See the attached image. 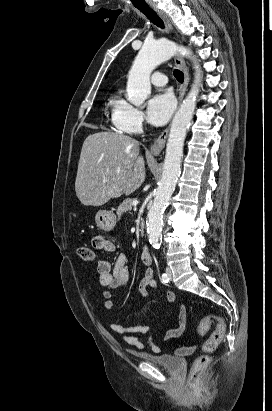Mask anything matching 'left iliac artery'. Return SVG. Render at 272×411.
I'll list each match as a JSON object with an SVG mask.
<instances>
[{
  "instance_id": "obj_1",
  "label": "left iliac artery",
  "mask_w": 272,
  "mask_h": 411,
  "mask_svg": "<svg viewBox=\"0 0 272 411\" xmlns=\"http://www.w3.org/2000/svg\"><path fill=\"white\" fill-rule=\"evenodd\" d=\"M161 279H162V281H163L164 283H167V282L169 281V278H168V276H167L166 273H163V274H162Z\"/></svg>"
}]
</instances>
